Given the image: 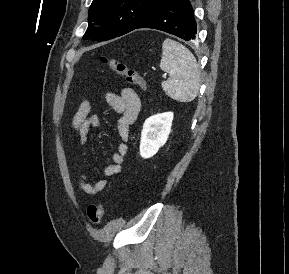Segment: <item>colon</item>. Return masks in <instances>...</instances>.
I'll use <instances>...</instances> for the list:
<instances>
[{
	"label": "colon",
	"mask_w": 289,
	"mask_h": 274,
	"mask_svg": "<svg viewBox=\"0 0 289 274\" xmlns=\"http://www.w3.org/2000/svg\"><path fill=\"white\" fill-rule=\"evenodd\" d=\"M101 62L114 74L124 78L128 83L138 86L140 89L146 91L148 88L145 79L135 70L129 68L124 63L110 59L107 57H101ZM104 214V205L93 204L87 208V218L90 223L96 225L100 223Z\"/></svg>",
	"instance_id": "obj_1"
}]
</instances>
